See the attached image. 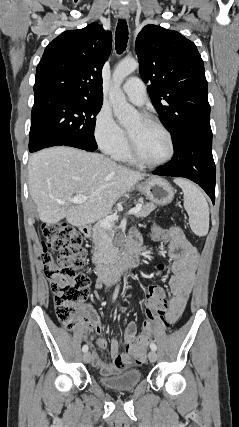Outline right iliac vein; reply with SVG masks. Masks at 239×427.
Listing matches in <instances>:
<instances>
[{"label": "right iliac vein", "mask_w": 239, "mask_h": 427, "mask_svg": "<svg viewBox=\"0 0 239 427\" xmlns=\"http://www.w3.org/2000/svg\"><path fill=\"white\" fill-rule=\"evenodd\" d=\"M83 361L85 363H89L91 361V354H90V352H85V354L83 355Z\"/></svg>", "instance_id": "obj_1"}]
</instances>
